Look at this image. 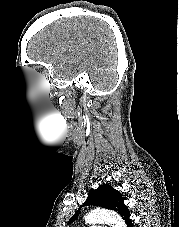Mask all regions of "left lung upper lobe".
Masks as SVG:
<instances>
[{
	"label": "left lung upper lobe",
	"instance_id": "1",
	"mask_svg": "<svg viewBox=\"0 0 179 227\" xmlns=\"http://www.w3.org/2000/svg\"><path fill=\"white\" fill-rule=\"evenodd\" d=\"M88 205L101 206L113 210L122 217L126 224L131 222L129 209L124 204L121 193L112 188L111 185L103 184L97 189H92L88 194L86 202L82 206ZM77 215V213L73 215L68 221V224L73 223Z\"/></svg>",
	"mask_w": 179,
	"mask_h": 227
}]
</instances>
